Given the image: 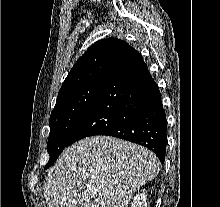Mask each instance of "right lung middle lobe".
I'll return each mask as SVG.
<instances>
[{"instance_id": "obj_1", "label": "right lung middle lobe", "mask_w": 220, "mask_h": 207, "mask_svg": "<svg viewBox=\"0 0 220 207\" xmlns=\"http://www.w3.org/2000/svg\"><path fill=\"white\" fill-rule=\"evenodd\" d=\"M105 81L106 79L92 81L58 95L49 120L47 151L50 159L45 169L50 167L69 145L70 137L93 106Z\"/></svg>"}]
</instances>
